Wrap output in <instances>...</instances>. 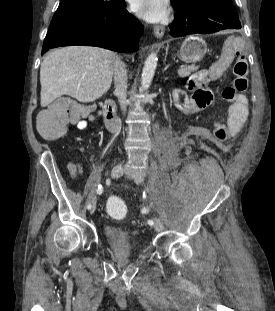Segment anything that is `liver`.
<instances>
[{"label":"liver","instance_id":"liver-1","mask_svg":"<svg viewBox=\"0 0 275 311\" xmlns=\"http://www.w3.org/2000/svg\"><path fill=\"white\" fill-rule=\"evenodd\" d=\"M112 51L91 46H69L51 51L40 68L41 106L62 95L82 103L99 99L110 88Z\"/></svg>","mask_w":275,"mask_h":311}]
</instances>
